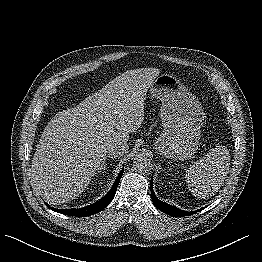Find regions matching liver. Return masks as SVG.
<instances>
[{
    "instance_id": "liver-1",
    "label": "liver",
    "mask_w": 262,
    "mask_h": 262,
    "mask_svg": "<svg viewBox=\"0 0 262 262\" xmlns=\"http://www.w3.org/2000/svg\"><path fill=\"white\" fill-rule=\"evenodd\" d=\"M157 68L128 70L74 108L58 112L45 127L32 159L30 179L50 204L79 196L114 143L141 126ZM117 129V131H116Z\"/></svg>"
}]
</instances>
